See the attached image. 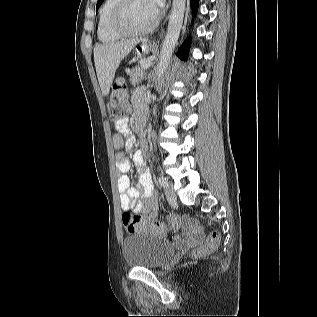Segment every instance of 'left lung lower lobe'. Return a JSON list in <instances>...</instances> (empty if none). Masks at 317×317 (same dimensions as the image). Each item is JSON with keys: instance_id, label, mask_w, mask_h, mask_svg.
Wrapping results in <instances>:
<instances>
[{"instance_id": "1", "label": "left lung lower lobe", "mask_w": 317, "mask_h": 317, "mask_svg": "<svg viewBox=\"0 0 317 317\" xmlns=\"http://www.w3.org/2000/svg\"><path fill=\"white\" fill-rule=\"evenodd\" d=\"M197 2L198 0H191V6L193 10H196L197 8ZM188 46H189L188 43H184L178 51V56L184 60L186 59V56H187Z\"/></svg>"}]
</instances>
